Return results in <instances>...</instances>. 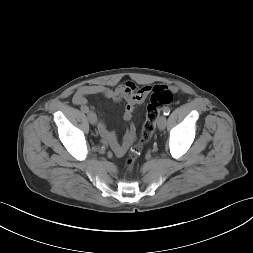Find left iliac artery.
I'll return each mask as SVG.
<instances>
[{
	"mask_svg": "<svg viewBox=\"0 0 253 253\" xmlns=\"http://www.w3.org/2000/svg\"><path fill=\"white\" fill-rule=\"evenodd\" d=\"M163 114L164 115H169L170 114V109L168 107L164 108Z\"/></svg>",
	"mask_w": 253,
	"mask_h": 253,
	"instance_id": "1",
	"label": "left iliac artery"
}]
</instances>
